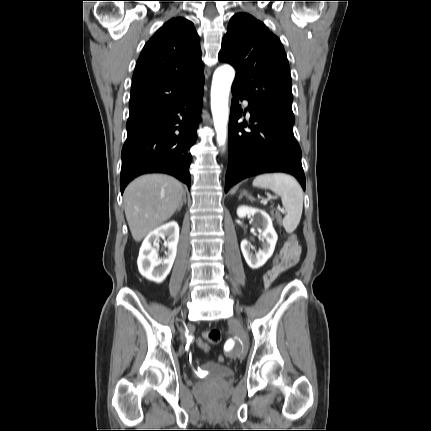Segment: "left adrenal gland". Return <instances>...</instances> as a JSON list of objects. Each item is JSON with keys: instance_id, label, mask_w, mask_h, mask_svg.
<instances>
[{"instance_id": "left-adrenal-gland-1", "label": "left adrenal gland", "mask_w": 431, "mask_h": 431, "mask_svg": "<svg viewBox=\"0 0 431 431\" xmlns=\"http://www.w3.org/2000/svg\"><path fill=\"white\" fill-rule=\"evenodd\" d=\"M243 196H245L247 198L249 197L248 193L245 190H243V192H241L239 199H241Z\"/></svg>"}]
</instances>
